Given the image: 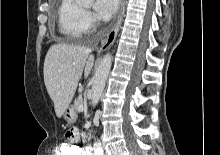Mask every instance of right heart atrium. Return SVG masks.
Returning <instances> with one entry per match:
<instances>
[{
    "instance_id": "1",
    "label": "right heart atrium",
    "mask_w": 220,
    "mask_h": 155,
    "mask_svg": "<svg viewBox=\"0 0 220 155\" xmlns=\"http://www.w3.org/2000/svg\"><path fill=\"white\" fill-rule=\"evenodd\" d=\"M86 22H87L88 28H92L97 24V19L91 13H86Z\"/></svg>"
}]
</instances>
